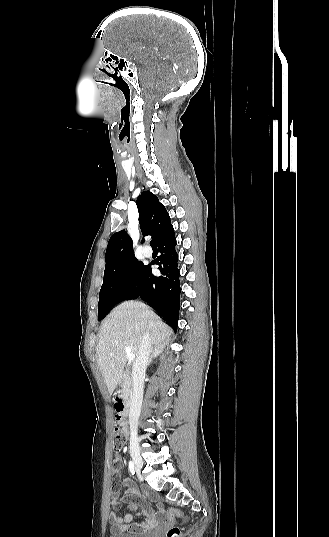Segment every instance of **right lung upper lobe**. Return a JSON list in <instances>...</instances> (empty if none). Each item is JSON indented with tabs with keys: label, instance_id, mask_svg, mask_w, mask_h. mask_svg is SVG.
Returning a JSON list of instances; mask_svg holds the SVG:
<instances>
[{
	"label": "right lung upper lobe",
	"instance_id": "right-lung-upper-lobe-1",
	"mask_svg": "<svg viewBox=\"0 0 329 537\" xmlns=\"http://www.w3.org/2000/svg\"><path fill=\"white\" fill-rule=\"evenodd\" d=\"M136 203L143 237L152 235L158 242L173 230L168 212L153 193L142 192ZM132 244L133 241L125 230L113 234L106 250V266L135 258Z\"/></svg>",
	"mask_w": 329,
	"mask_h": 537
}]
</instances>
